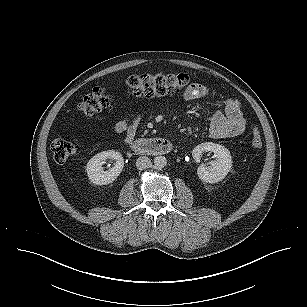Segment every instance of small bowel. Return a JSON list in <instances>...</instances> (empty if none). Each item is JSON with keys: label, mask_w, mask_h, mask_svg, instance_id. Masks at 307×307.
<instances>
[{"label": "small bowel", "mask_w": 307, "mask_h": 307, "mask_svg": "<svg viewBox=\"0 0 307 307\" xmlns=\"http://www.w3.org/2000/svg\"><path fill=\"white\" fill-rule=\"evenodd\" d=\"M214 90L200 84L193 83L184 93L186 100L214 98ZM141 118L139 115H130L118 121H110L109 125L118 134H123L127 143L134 140ZM246 129V118L240 102L232 97L223 100V108L214 111L209 119V137L215 140L236 137Z\"/></svg>", "instance_id": "small-bowel-1"}]
</instances>
